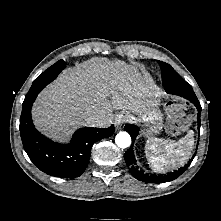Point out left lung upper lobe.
Segmentation results:
<instances>
[{
  "label": "left lung upper lobe",
  "mask_w": 221,
  "mask_h": 221,
  "mask_svg": "<svg viewBox=\"0 0 221 221\" xmlns=\"http://www.w3.org/2000/svg\"><path fill=\"white\" fill-rule=\"evenodd\" d=\"M162 70V81L164 86L171 85L179 81L181 76L167 63L158 61Z\"/></svg>",
  "instance_id": "left-lung-upper-lobe-1"
}]
</instances>
